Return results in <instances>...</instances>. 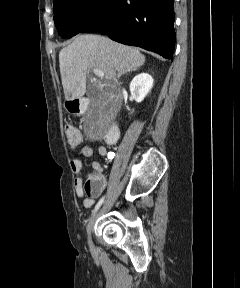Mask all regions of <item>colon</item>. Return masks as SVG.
<instances>
[{"label":"colon","instance_id":"obj_1","mask_svg":"<svg viewBox=\"0 0 240 288\" xmlns=\"http://www.w3.org/2000/svg\"><path fill=\"white\" fill-rule=\"evenodd\" d=\"M64 131L70 147L75 148L81 143V134L72 124L66 123L64 126ZM98 190V181L93 177H89L84 184V194L87 196H94Z\"/></svg>","mask_w":240,"mask_h":288}]
</instances>
